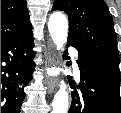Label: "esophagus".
Segmentation results:
<instances>
[{
    "label": "esophagus",
    "mask_w": 121,
    "mask_h": 113,
    "mask_svg": "<svg viewBox=\"0 0 121 113\" xmlns=\"http://www.w3.org/2000/svg\"><path fill=\"white\" fill-rule=\"evenodd\" d=\"M57 54L52 44L48 45V52L46 56V63L49 67H54L57 65ZM47 89L49 93H52L56 87L58 86V79L56 77H48L47 81Z\"/></svg>",
    "instance_id": "obj_1"
}]
</instances>
